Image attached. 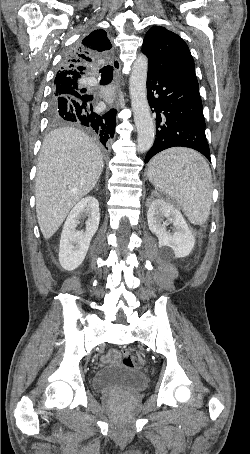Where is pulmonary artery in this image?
Listing matches in <instances>:
<instances>
[{
    "mask_svg": "<svg viewBox=\"0 0 250 454\" xmlns=\"http://www.w3.org/2000/svg\"><path fill=\"white\" fill-rule=\"evenodd\" d=\"M97 83H98V81H97V79L94 78V77H88V78L86 79V84H87V85L94 86V85H96Z\"/></svg>",
    "mask_w": 250,
    "mask_h": 454,
    "instance_id": "e3ab8cb5",
    "label": "pulmonary artery"
}]
</instances>
